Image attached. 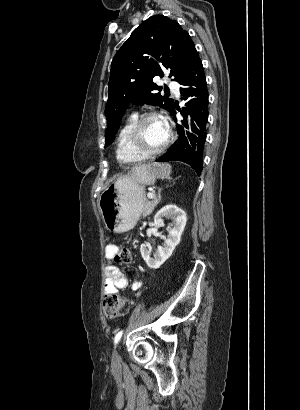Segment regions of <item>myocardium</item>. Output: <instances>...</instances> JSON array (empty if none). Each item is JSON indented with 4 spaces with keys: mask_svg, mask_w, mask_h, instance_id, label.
Returning a JSON list of instances; mask_svg holds the SVG:
<instances>
[{
    "mask_svg": "<svg viewBox=\"0 0 300 410\" xmlns=\"http://www.w3.org/2000/svg\"><path fill=\"white\" fill-rule=\"evenodd\" d=\"M150 119H160L163 121V117L160 114L155 113V112H148V113H145L137 117V119L132 124L130 131H129V142H130L131 147L137 153H139L140 155L146 158L162 153L168 147V145L170 144L172 140V132L167 128L168 130L167 138L160 147L155 148V149L146 148L142 141L141 131H142V127L144 123Z\"/></svg>",
    "mask_w": 300,
    "mask_h": 410,
    "instance_id": "1",
    "label": "myocardium"
}]
</instances>
